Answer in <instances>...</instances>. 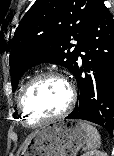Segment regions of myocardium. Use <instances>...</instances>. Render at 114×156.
<instances>
[{
  "mask_svg": "<svg viewBox=\"0 0 114 156\" xmlns=\"http://www.w3.org/2000/svg\"><path fill=\"white\" fill-rule=\"evenodd\" d=\"M48 77L56 78V79L60 80L65 85L67 92H68L67 103H66L65 107L59 113H57L53 116H50V117L43 118V119L38 120L34 123H31L26 118V114H25V111H24L23 106H22V98L30 86H32L38 80L43 79V78H48ZM75 97H76V95H75V90H74L73 85L62 74L55 72V71H45V72H41L39 74H36L35 76H33L30 80H28L24 84V86L21 88V90L18 94L17 106H18V109L20 111L23 123L27 127L33 128V127H37L41 124H44V123H47L50 121H54V120H57V119L64 117L72 109L74 102H75Z\"/></svg>",
  "mask_w": 114,
  "mask_h": 156,
  "instance_id": "f54148a6",
  "label": "myocardium"
}]
</instances>
